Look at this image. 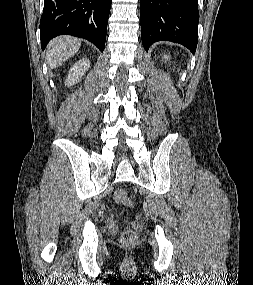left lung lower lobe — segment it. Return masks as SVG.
<instances>
[{
    "instance_id": "0a47b994",
    "label": "left lung lower lobe",
    "mask_w": 253,
    "mask_h": 285,
    "mask_svg": "<svg viewBox=\"0 0 253 285\" xmlns=\"http://www.w3.org/2000/svg\"><path fill=\"white\" fill-rule=\"evenodd\" d=\"M144 49L161 40L172 41L195 53L198 37V0H140Z\"/></svg>"
}]
</instances>
